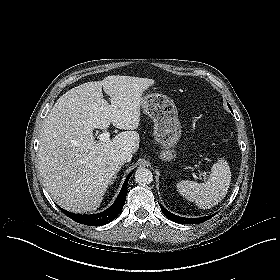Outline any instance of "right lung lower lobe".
I'll list each match as a JSON object with an SVG mask.
<instances>
[{
    "label": "right lung lower lobe",
    "mask_w": 280,
    "mask_h": 280,
    "mask_svg": "<svg viewBox=\"0 0 280 280\" xmlns=\"http://www.w3.org/2000/svg\"><path fill=\"white\" fill-rule=\"evenodd\" d=\"M131 175H132V172L125 179L122 189H121L117 199L113 203V205L103 212H100L98 214H93V215H86V214L82 215V214H74V213L68 212L62 208H60V210L64 214H66L68 217H70L72 220H74L78 223H81V224H85V225H89V226H100V225L110 223L118 216V214L121 212V210L125 204L126 195H127V184H128V180Z\"/></svg>",
    "instance_id": "right-lung-lower-lobe-1"
}]
</instances>
